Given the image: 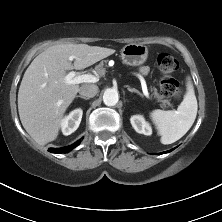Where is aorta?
I'll return each mask as SVG.
<instances>
[{
    "instance_id": "1",
    "label": "aorta",
    "mask_w": 222,
    "mask_h": 222,
    "mask_svg": "<svg viewBox=\"0 0 222 222\" xmlns=\"http://www.w3.org/2000/svg\"><path fill=\"white\" fill-rule=\"evenodd\" d=\"M119 95L115 89H107L103 95V102L107 106H114L118 103Z\"/></svg>"
}]
</instances>
